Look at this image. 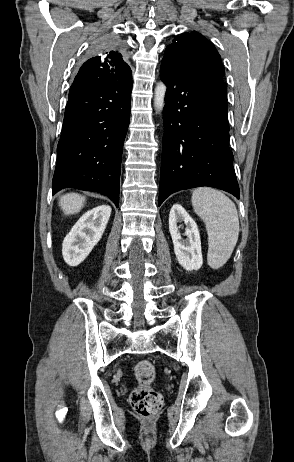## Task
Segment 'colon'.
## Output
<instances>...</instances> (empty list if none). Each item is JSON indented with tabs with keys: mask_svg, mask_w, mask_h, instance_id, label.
<instances>
[{
	"mask_svg": "<svg viewBox=\"0 0 294 462\" xmlns=\"http://www.w3.org/2000/svg\"><path fill=\"white\" fill-rule=\"evenodd\" d=\"M155 373L154 365L148 360L139 361L134 369L139 385L131 392L130 402L134 411L144 418L157 414L163 404L161 394L150 386L155 378Z\"/></svg>",
	"mask_w": 294,
	"mask_h": 462,
	"instance_id": "1",
	"label": "colon"
}]
</instances>
